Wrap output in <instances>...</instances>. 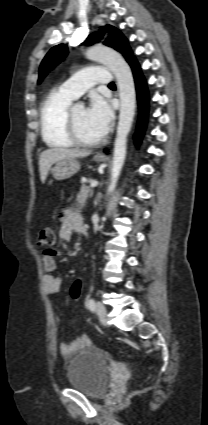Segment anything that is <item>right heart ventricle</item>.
<instances>
[{
	"mask_svg": "<svg viewBox=\"0 0 208 425\" xmlns=\"http://www.w3.org/2000/svg\"><path fill=\"white\" fill-rule=\"evenodd\" d=\"M74 100L61 89L53 90L40 108V129L43 141L50 148L64 149L74 146L66 127V113Z\"/></svg>",
	"mask_w": 208,
	"mask_h": 425,
	"instance_id": "1",
	"label": "right heart ventricle"
}]
</instances>
